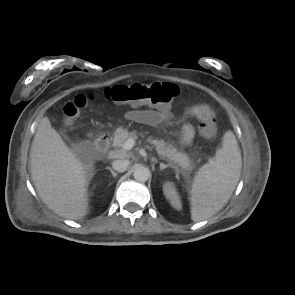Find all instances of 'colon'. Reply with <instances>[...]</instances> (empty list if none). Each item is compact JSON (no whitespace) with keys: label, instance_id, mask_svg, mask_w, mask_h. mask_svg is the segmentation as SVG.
<instances>
[{"label":"colon","instance_id":"5ec220e1","mask_svg":"<svg viewBox=\"0 0 295 295\" xmlns=\"http://www.w3.org/2000/svg\"><path fill=\"white\" fill-rule=\"evenodd\" d=\"M179 88L171 83H133L106 87L101 96L116 104L132 106L151 105L158 109H166L178 97ZM95 94L77 95L64 106L67 118L76 117L81 110L95 100ZM218 132V123L214 118L202 121L200 133L207 139H214Z\"/></svg>","mask_w":295,"mask_h":295}]
</instances>
